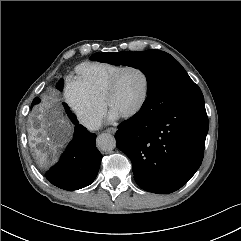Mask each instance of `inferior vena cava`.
Returning <instances> with one entry per match:
<instances>
[{
  "instance_id": "obj_1",
  "label": "inferior vena cava",
  "mask_w": 241,
  "mask_h": 241,
  "mask_svg": "<svg viewBox=\"0 0 241 241\" xmlns=\"http://www.w3.org/2000/svg\"><path fill=\"white\" fill-rule=\"evenodd\" d=\"M85 125L90 130H97L101 126V120L100 119H92L85 122Z\"/></svg>"
}]
</instances>
